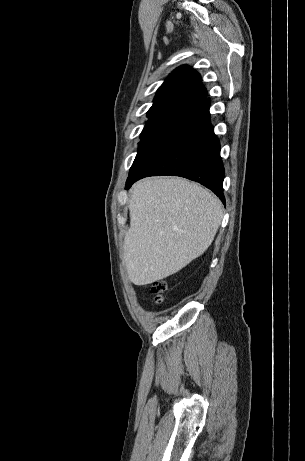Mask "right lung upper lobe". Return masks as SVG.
<instances>
[{
    "label": "right lung upper lobe",
    "instance_id": "right-lung-upper-lobe-1",
    "mask_svg": "<svg viewBox=\"0 0 305 461\" xmlns=\"http://www.w3.org/2000/svg\"><path fill=\"white\" fill-rule=\"evenodd\" d=\"M207 91L198 72L186 65L178 67L158 89L151 108L180 106L187 109L203 102Z\"/></svg>",
    "mask_w": 305,
    "mask_h": 461
}]
</instances>
